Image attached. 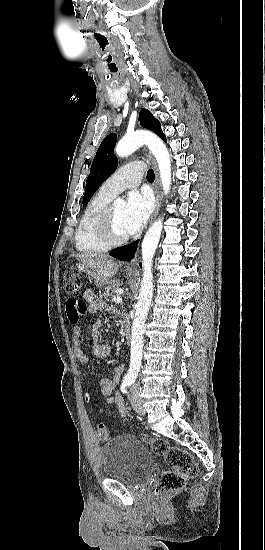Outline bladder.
<instances>
[{"instance_id":"bladder-1","label":"bladder","mask_w":265,"mask_h":550,"mask_svg":"<svg viewBox=\"0 0 265 550\" xmlns=\"http://www.w3.org/2000/svg\"><path fill=\"white\" fill-rule=\"evenodd\" d=\"M104 476L128 485H139L157 467V457L143 442L131 434L119 435L101 447Z\"/></svg>"}]
</instances>
